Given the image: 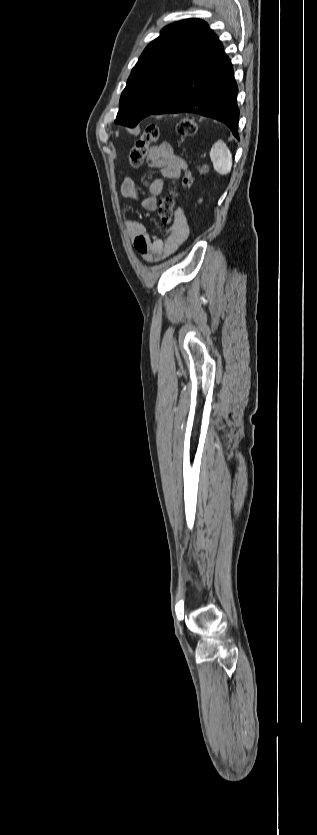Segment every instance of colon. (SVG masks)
Wrapping results in <instances>:
<instances>
[{
    "label": "colon",
    "mask_w": 317,
    "mask_h": 835,
    "mask_svg": "<svg viewBox=\"0 0 317 835\" xmlns=\"http://www.w3.org/2000/svg\"><path fill=\"white\" fill-rule=\"evenodd\" d=\"M197 131V124L192 117L183 118L178 125V132L184 137H193L197 134ZM159 134V128L155 125H149L145 128L142 135L136 140L130 150L129 163L131 166L139 167L145 162L149 146L158 140ZM196 170L198 175H203L207 173L208 167L205 165H199ZM195 179L196 176L193 172L187 171L181 180V186L188 188L192 186ZM176 195V188H171L169 192L158 202L157 213L162 224H169L172 221L175 211Z\"/></svg>",
    "instance_id": "obj_1"
}]
</instances>
